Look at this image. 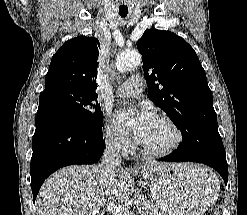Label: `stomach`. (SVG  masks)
Here are the masks:
<instances>
[{"label":"stomach","mask_w":247,"mask_h":215,"mask_svg":"<svg viewBox=\"0 0 247 215\" xmlns=\"http://www.w3.org/2000/svg\"><path fill=\"white\" fill-rule=\"evenodd\" d=\"M184 170V164L158 169L151 177L152 199L161 215H202L218 195L219 181L208 168Z\"/></svg>","instance_id":"stomach-1"}]
</instances>
